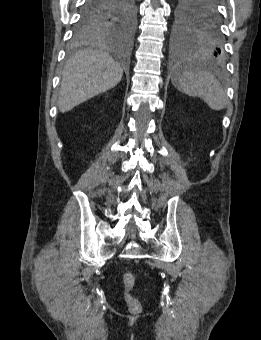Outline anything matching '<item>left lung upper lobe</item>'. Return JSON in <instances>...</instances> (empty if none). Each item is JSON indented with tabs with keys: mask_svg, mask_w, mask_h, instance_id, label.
Returning a JSON list of instances; mask_svg holds the SVG:
<instances>
[{
	"mask_svg": "<svg viewBox=\"0 0 261 340\" xmlns=\"http://www.w3.org/2000/svg\"><path fill=\"white\" fill-rule=\"evenodd\" d=\"M206 0H178L172 27L176 48L197 50L211 58L224 57V37L217 7L207 8Z\"/></svg>",
	"mask_w": 261,
	"mask_h": 340,
	"instance_id": "obj_1",
	"label": "left lung upper lobe"
}]
</instances>
